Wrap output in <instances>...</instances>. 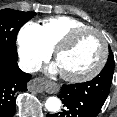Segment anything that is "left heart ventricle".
Instances as JSON below:
<instances>
[{
	"instance_id": "1",
	"label": "left heart ventricle",
	"mask_w": 117,
	"mask_h": 117,
	"mask_svg": "<svg viewBox=\"0 0 117 117\" xmlns=\"http://www.w3.org/2000/svg\"><path fill=\"white\" fill-rule=\"evenodd\" d=\"M102 55L100 38L91 32L80 35L68 48L63 50L57 65L61 73L81 75L96 66Z\"/></svg>"
}]
</instances>
